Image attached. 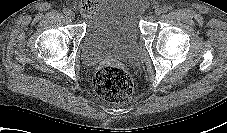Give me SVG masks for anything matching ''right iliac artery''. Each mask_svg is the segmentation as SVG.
Returning a JSON list of instances; mask_svg holds the SVG:
<instances>
[{"label": "right iliac artery", "mask_w": 227, "mask_h": 133, "mask_svg": "<svg viewBox=\"0 0 227 133\" xmlns=\"http://www.w3.org/2000/svg\"><path fill=\"white\" fill-rule=\"evenodd\" d=\"M70 9L69 8H64V10H63V13L65 14V15H69L70 14Z\"/></svg>", "instance_id": "right-iliac-artery-1"}]
</instances>
